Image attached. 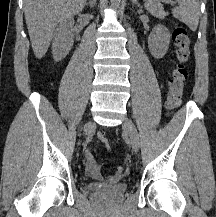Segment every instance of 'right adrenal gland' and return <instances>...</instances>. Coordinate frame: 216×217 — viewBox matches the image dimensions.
I'll use <instances>...</instances> for the list:
<instances>
[{"label":"right adrenal gland","instance_id":"1","mask_svg":"<svg viewBox=\"0 0 216 217\" xmlns=\"http://www.w3.org/2000/svg\"><path fill=\"white\" fill-rule=\"evenodd\" d=\"M97 0H89L87 3H85L86 6H89L91 9L95 7Z\"/></svg>","mask_w":216,"mask_h":217}]
</instances>
